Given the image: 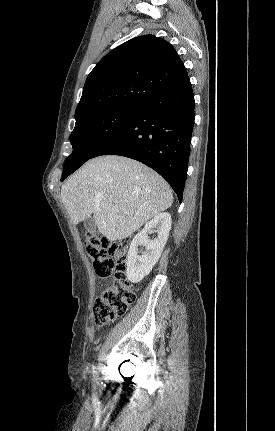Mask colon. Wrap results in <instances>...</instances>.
<instances>
[{"label": "colon", "mask_w": 275, "mask_h": 431, "mask_svg": "<svg viewBox=\"0 0 275 431\" xmlns=\"http://www.w3.org/2000/svg\"><path fill=\"white\" fill-rule=\"evenodd\" d=\"M85 248L99 277L114 275L113 283L94 303L93 321L100 326L123 316L136 300V293L126 276L128 243L92 234L85 242Z\"/></svg>", "instance_id": "1"}]
</instances>
